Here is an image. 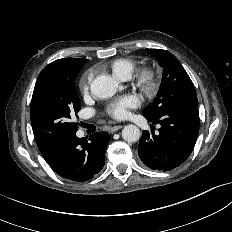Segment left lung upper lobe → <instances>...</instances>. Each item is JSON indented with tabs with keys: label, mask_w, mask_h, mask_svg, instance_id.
Instances as JSON below:
<instances>
[{
	"label": "left lung upper lobe",
	"mask_w": 232,
	"mask_h": 232,
	"mask_svg": "<svg viewBox=\"0 0 232 232\" xmlns=\"http://www.w3.org/2000/svg\"><path fill=\"white\" fill-rule=\"evenodd\" d=\"M163 68V76L154 102L143 110L148 118H157L166 111L184 105L197 108V95L187 72L170 52L162 49H147Z\"/></svg>",
	"instance_id": "5c2ea615"
}]
</instances>
